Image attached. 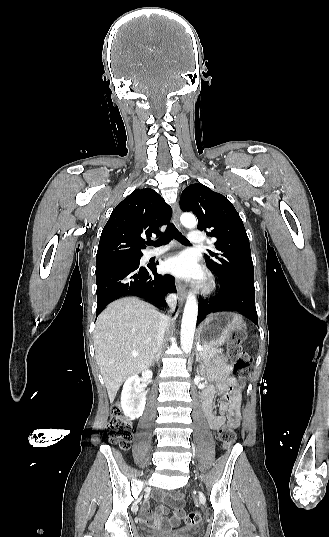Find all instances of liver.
Masks as SVG:
<instances>
[{
    "mask_svg": "<svg viewBox=\"0 0 329 537\" xmlns=\"http://www.w3.org/2000/svg\"><path fill=\"white\" fill-rule=\"evenodd\" d=\"M160 318L152 305L136 297L119 299L98 316L95 356L111 402L125 379L150 367Z\"/></svg>",
    "mask_w": 329,
    "mask_h": 537,
    "instance_id": "1",
    "label": "liver"
}]
</instances>
